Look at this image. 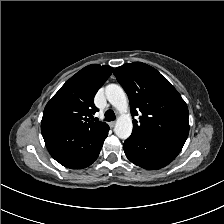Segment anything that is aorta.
I'll return each mask as SVG.
<instances>
[{
  "label": "aorta",
  "instance_id": "762f6f07",
  "mask_svg": "<svg viewBox=\"0 0 224 224\" xmlns=\"http://www.w3.org/2000/svg\"><path fill=\"white\" fill-rule=\"evenodd\" d=\"M105 95L109 103L115 107L120 116L117 118L114 132L120 139H127L133 129L132 119L128 113V100L121 86L109 84L105 88Z\"/></svg>",
  "mask_w": 224,
  "mask_h": 224
}]
</instances>
